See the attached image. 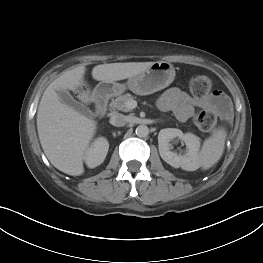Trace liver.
Returning <instances> with one entry per match:
<instances>
[{
    "label": "liver",
    "mask_w": 263,
    "mask_h": 263,
    "mask_svg": "<svg viewBox=\"0 0 263 263\" xmlns=\"http://www.w3.org/2000/svg\"><path fill=\"white\" fill-rule=\"evenodd\" d=\"M154 62H127L97 65L92 77L97 81L114 82L139 74ZM84 65L66 71L52 81L43 93L38 112L37 130L42 149L51 164L72 176L84 173L83 160L93 139L97 122L63 104L58 90L77 91L85 86ZM79 99L84 103L93 100L90 92H82Z\"/></svg>",
    "instance_id": "obj_1"
}]
</instances>
